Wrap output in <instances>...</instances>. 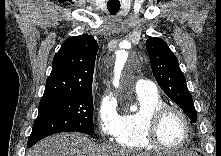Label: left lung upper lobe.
I'll return each mask as SVG.
<instances>
[{
    "label": "left lung upper lobe",
    "instance_id": "left-lung-upper-lobe-1",
    "mask_svg": "<svg viewBox=\"0 0 221 156\" xmlns=\"http://www.w3.org/2000/svg\"><path fill=\"white\" fill-rule=\"evenodd\" d=\"M146 49L159 86L184 111L191 123H195L197 113L176 56L169 49L167 43L157 37L147 39Z\"/></svg>",
    "mask_w": 221,
    "mask_h": 156
}]
</instances>
